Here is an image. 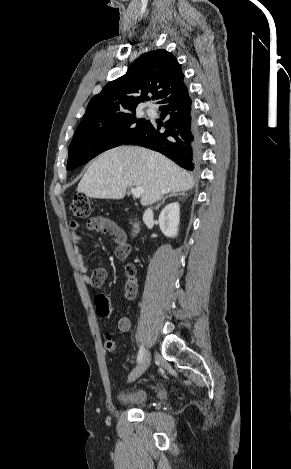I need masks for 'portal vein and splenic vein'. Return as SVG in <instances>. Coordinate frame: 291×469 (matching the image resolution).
Returning a JSON list of instances; mask_svg holds the SVG:
<instances>
[{
  "mask_svg": "<svg viewBox=\"0 0 291 469\" xmlns=\"http://www.w3.org/2000/svg\"><path fill=\"white\" fill-rule=\"evenodd\" d=\"M131 192L135 198H140L143 194V188L142 187L131 188Z\"/></svg>",
  "mask_w": 291,
  "mask_h": 469,
  "instance_id": "1",
  "label": "portal vein and splenic vein"
}]
</instances>
